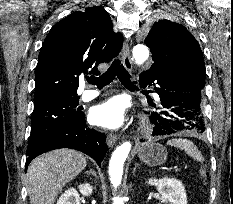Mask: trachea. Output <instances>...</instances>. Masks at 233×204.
Masks as SVG:
<instances>
[{
	"label": "trachea",
	"instance_id": "obj_1",
	"mask_svg": "<svg viewBox=\"0 0 233 204\" xmlns=\"http://www.w3.org/2000/svg\"><path fill=\"white\" fill-rule=\"evenodd\" d=\"M116 76L125 87L130 89H138L136 82H132L130 80V74L126 71L119 59H115L111 66L107 69V71L103 73L101 76L89 77L87 81L90 84L97 85V87L101 89L106 85L110 84Z\"/></svg>",
	"mask_w": 233,
	"mask_h": 204
}]
</instances>
